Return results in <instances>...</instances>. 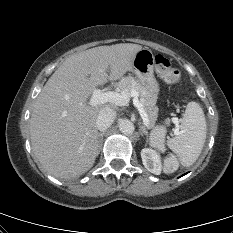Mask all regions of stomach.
Here are the masks:
<instances>
[{"mask_svg": "<svg viewBox=\"0 0 233 233\" xmlns=\"http://www.w3.org/2000/svg\"><path fill=\"white\" fill-rule=\"evenodd\" d=\"M154 60L152 51L143 48L138 51L133 60L131 72L134 73L138 83L152 96L159 92V84L154 77Z\"/></svg>", "mask_w": 233, "mask_h": 233, "instance_id": "0dacf381", "label": "stomach"}]
</instances>
